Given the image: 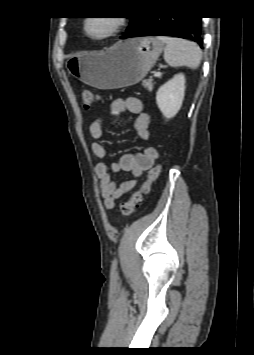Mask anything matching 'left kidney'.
<instances>
[{"mask_svg":"<svg viewBox=\"0 0 254 355\" xmlns=\"http://www.w3.org/2000/svg\"><path fill=\"white\" fill-rule=\"evenodd\" d=\"M185 94V76L182 73L162 85L156 93L157 105L167 119L173 118L182 106Z\"/></svg>","mask_w":254,"mask_h":355,"instance_id":"obj_1","label":"left kidney"}]
</instances>
